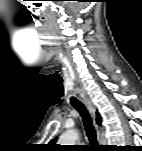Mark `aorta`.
I'll use <instances>...</instances> for the list:
<instances>
[{
    "instance_id": "obj_1",
    "label": "aorta",
    "mask_w": 142,
    "mask_h": 151,
    "mask_svg": "<svg viewBox=\"0 0 142 151\" xmlns=\"http://www.w3.org/2000/svg\"><path fill=\"white\" fill-rule=\"evenodd\" d=\"M77 139L78 132L74 129H69L60 136L58 143L61 145H75Z\"/></svg>"
}]
</instances>
